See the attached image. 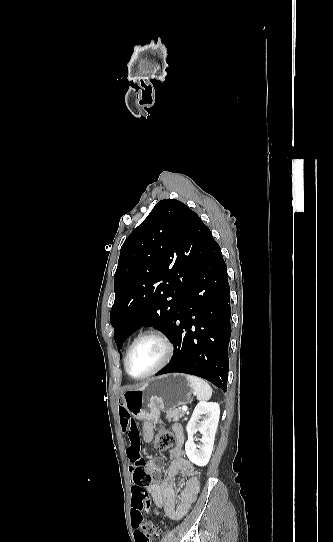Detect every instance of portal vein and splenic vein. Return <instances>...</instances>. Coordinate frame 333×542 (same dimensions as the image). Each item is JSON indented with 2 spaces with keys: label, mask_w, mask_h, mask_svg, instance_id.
Returning a JSON list of instances; mask_svg holds the SVG:
<instances>
[{
  "label": "portal vein and splenic vein",
  "mask_w": 333,
  "mask_h": 542,
  "mask_svg": "<svg viewBox=\"0 0 333 542\" xmlns=\"http://www.w3.org/2000/svg\"><path fill=\"white\" fill-rule=\"evenodd\" d=\"M183 412H187V406H182Z\"/></svg>",
  "instance_id": "portal-vein-and-splenic-vein-1"
}]
</instances>
